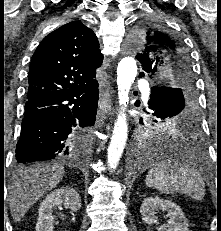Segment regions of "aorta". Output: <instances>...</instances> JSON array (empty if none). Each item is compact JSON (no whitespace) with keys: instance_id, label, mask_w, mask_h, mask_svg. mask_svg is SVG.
<instances>
[{"instance_id":"aorta-1","label":"aorta","mask_w":221,"mask_h":231,"mask_svg":"<svg viewBox=\"0 0 221 231\" xmlns=\"http://www.w3.org/2000/svg\"><path fill=\"white\" fill-rule=\"evenodd\" d=\"M136 75L137 63L135 59L133 57H124L119 62L117 68V86L121 112L118 114L117 120L114 124L107 154L108 166L111 169H115L117 167L126 145L128 137V125L126 113L124 112V110L129 101V91L135 80Z\"/></svg>"}]
</instances>
